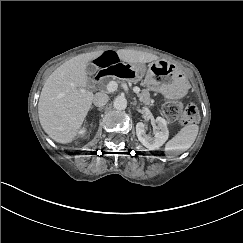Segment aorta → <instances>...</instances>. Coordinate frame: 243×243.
I'll list each match as a JSON object with an SVG mask.
<instances>
[{
    "label": "aorta",
    "mask_w": 243,
    "mask_h": 243,
    "mask_svg": "<svg viewBox=\"0 0 243 243\" xmlns=\"http://www.w3.org/2000/svg\"><path fill=\"white\" fill-rule=\"evenodd\" d=\"M113 106L116 110H125L127 107V100L123 96H118L113 102Z\"/></svg>",
    "instance_id": "obj_1"
}]
</instances>
